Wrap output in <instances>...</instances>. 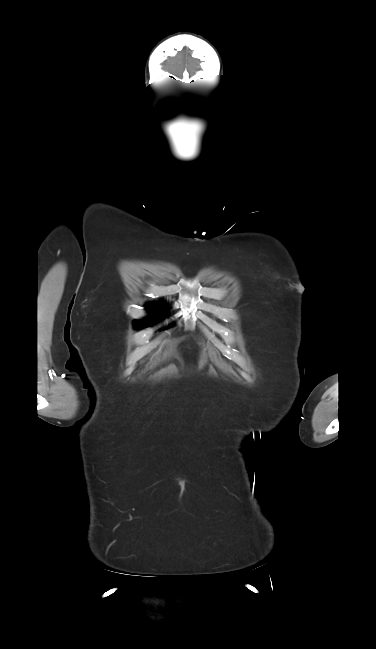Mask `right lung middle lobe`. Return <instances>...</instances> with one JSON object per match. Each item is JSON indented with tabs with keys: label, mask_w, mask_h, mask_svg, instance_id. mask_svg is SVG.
<instances>
[{
	"label": "right lung middle lobe",
	"mask_w": 376,
	"mask_h": 649,
	"mask_svg": "<svg viewBox=\"0 0 376 649\" xmlns=\"http://www.w3.org/2000/svg\"><path fill=\"white\" fill-rule=\"evenodd\" d=\"M148 309H149V312L152 313L154 318L163 319L164 317L167 316V313L164 311V307L162 305H160V304H149ZM151 320L152 321L147 319V320L135 322V324H136L137 327L142 329L144 327L151 326L152 323H155L154 319H151Z\"/></svg>",
	"instance_id": "1"
}]
</instances>
